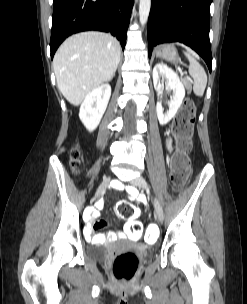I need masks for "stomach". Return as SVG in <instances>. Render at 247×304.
I'll return each mask as SVG.
<instances>
[{
  "mask_svg": "<svg viewBox=\"0 0 247 304\" xmlns=\"http://www.w3.org/2000/svg\"><path fill=\"white\" fill-rule=\"evenodd\" d=\"M157 56L171 63L180 62L177 50L173 45H164L157 50Z\"/></svg>",
  "mask_w": 247,
  "mask_h": 304,
  "instance_id": "1",
  "label": "stomach"
}]
</instances>
